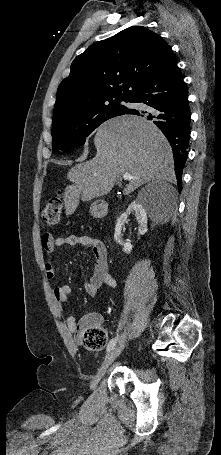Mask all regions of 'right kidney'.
I'll use <instances>...</instances> for the list:
<instances>
[{"label":"right kidney","mask_w":221,"mask_h":455,"mask_svg":"<svg viewBox=\"0 0 221 455\" xmlns=\"http://www.w3.org/2000/svg\"><path fill=\"white\" fill-rule=\"evenodd\" d=\"M135 213L136 220L138 222V231L141 235H144L147 232V214L144 209V207L138 202V201H133L131 204L128 206L126 211L120 215V217L117 219L116 226H115V234H114V240L123 246V251L125 253H130L133 245H131L129 242L124 243L121 239V230H122V225L124 222L127 220L128 216L130 213Z\"/></svg>","instance_id":"1"}]
</instances>
